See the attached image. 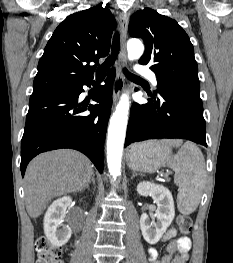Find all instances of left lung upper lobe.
<instances>
[{
  "label": "left lung upper lobe",
  "mask_w": 233,
  "mask_h": 263,
  "mask_svg": "<svg viewBox=\"0 0 233 263\" xmlns=\"http://www.w3.org/2000/svg\"><path fill=\"white\" fill-rule=\"evenodd\" d=\"M129 33L144 40L145 52L139 63L152 65L157 91L168 85L200 89L193 45L175 20L145 8L132 15Z\"/></svg>",
  "instance_id": "obj_1"
}]
</instances>
